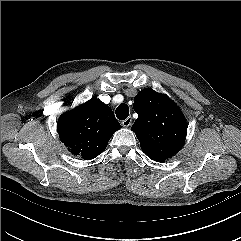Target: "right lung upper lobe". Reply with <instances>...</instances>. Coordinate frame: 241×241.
<instances>
[{"label":"right lung upper lobe","instance_id":"right-lung-upper-lobe-1","mask_svg":"<svg viewBox=\"0 0 241 241\" xmlns=\"http://www.w3.org/2000/svg\"><path fill=\"white\" fill-rule=\"evenodd\" d=\"M119 128L112 109L97 98L63 114L57 125L62 143L85 160L100 155Z\"/></svg>","mask_w":241,"mask_h":241}]
</instances>
